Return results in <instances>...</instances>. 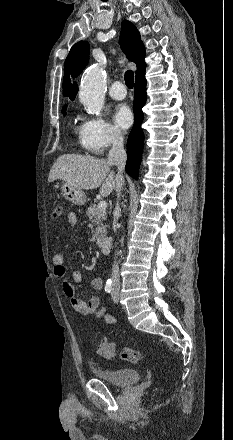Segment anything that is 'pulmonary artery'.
I'll use <instances>...</instances> for the list:
<instances>
[{
    "label": "pulmonary artery",
    "mask_w": 233,
    "mask_h": 440,
    "mask_svg": "<svg viewBox=\"0 0 233 440\" xmlns=\"http://www.w3.org/2000/svg\"><path fill=\"white\" fill-rule=\"evenodd\" d=\"M109 94L116 100H122L126 97L127 92L122 82L115 81L110 86Z\"/></svg>",
    "instance_id": "obj_1"
}]
</instances>
